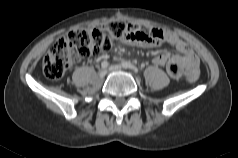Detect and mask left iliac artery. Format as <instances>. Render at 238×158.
Returning <instances> with one entry per match:
<instances>
[{
  "label": "left iliac artery",
  "instance_id": "1",
  "mask_svg": "<svg viewBox=\"0 0 238 158\" xmlns=\"http://www.w3.org/2000/svg\"><path fill=\"white\" fill-rule=\"evenodd\" d=\"M122 67L124 68H128L133 70L135 73H138V68L136 66H134L133 64H131L130 62L124 61L122 62Z\"/></svg>",
  "mask_w": 238,
  "mask_h": 158
}]
</instances>
